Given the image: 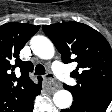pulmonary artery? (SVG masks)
Wrapping results in <instances>:
<instances>
[{
    "label": "pulmonary artery",
    "mask_w": 112,
    "mask_h": 112,
    "mask_svg": "<svg viewBox=\"0 0 112 112\" xmlns=\"http://www.w3.org/2000/svg\"><path fill=\"white\" fill-rule=\"evenodd\" d=\"M53 71L60 80H62V81L67 80L68 75H67V72L62 64L55 62L53 64Z\"/></svg>",
    "instance_id": "obj_1"
}]
</instances>
